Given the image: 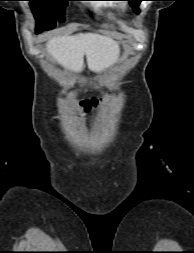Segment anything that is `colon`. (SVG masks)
I'll list each match as a JSON object with an SVG mask.
<instances>
[{
  "label": "colon",
  "instance_id": "1",
  "mask_svg": "<svg viewBox=\"0 0 194 253\" xmlns=\"http://www.w3.org/2000/svg\"><path fill=\"white\" fill-rule=\"evenodd\" d=\"M99 103V99L97 98H91V99H85L81 102L80 106L83 111L88 112L92 108L96 107Z\"/></svg>",
  "mask_w": 194,
  "mask_h": 253
}]
</instances>
